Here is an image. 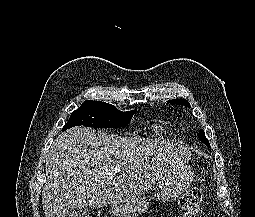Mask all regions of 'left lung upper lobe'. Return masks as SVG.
<instances>
[{
  "instance_id": "obj_1",
  "label": "left lung upper lobe",
  "mask_w": 255,
  "mask_h": 217,
  "mask_svg": "<svg viewBox=\"0 0 255 217\" xmlns=\"http://www.w3.org/2000/svg\"><path fill=\"white\" fill-rule=\"evenodd\" d=\"M169 103H173V104H179V105H184L186 107H190V104L187 100L185 99H173L168 101ZM199 139L201 140V142H203L205 145L210 147L209 141L208 139L205 137L204 131L201 130L199 132Z\"/></svg>"
}]
</instances>
